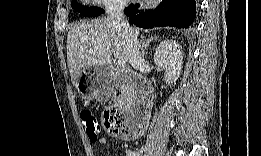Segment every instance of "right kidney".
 I'll use <instances>...</instances> for the list:
<instances>
[{"instance_id": "obj_1", "label": "right kidney", "mask_w": 261, "mask_h": 156, "mask_svg": "<svg viewBox=\"0 0 261 156\" xmlns=\"http://www.w3.org/2000/svg\"><path fill=\"white\" fill-rule=\"evenodd\" d=\"M182 47L172 39L162 41L154 53L155 64L165 70L164 80L173 85L179 78L182 70Z\"/></svg>"}]
</instances>
